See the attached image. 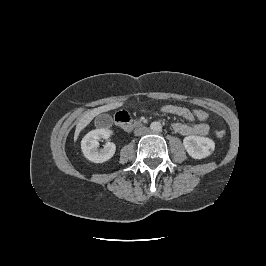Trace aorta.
Segmentation results:
<instances>
[{
  "mask_svg": "<svg viewBox=\"0 0 266 266\" xmlns=\"http://www.w3.org/2000/svg\"><path fill=\"white\" fill-rule=\"evenodd\" d=\"M150 129L153 131V132H160L162 130V125L160 122L158 121H155V122H152L150 124Z\"/></svg>",
  "mask_w": 266,
  "mask_h": 266,
  "instance_id": "obj_1",
  "label": "aorta"
}]
</instances>
